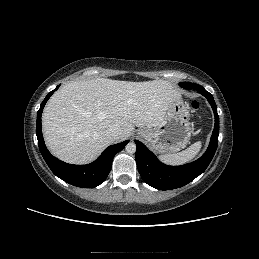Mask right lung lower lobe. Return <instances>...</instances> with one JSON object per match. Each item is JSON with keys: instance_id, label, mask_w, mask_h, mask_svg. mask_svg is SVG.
<instances>
[{"instance_id": "obj_1", "label": "right lung lower lobe", "mask_w": 259, "mask_h": 259, "mask_svg": "<svg viewBox=\"0 0 259 259\" xmlns=\"http://www.w3.org/2000/svg\"><path fill=\"white\" fill-rule=\"evenodd\" d=\"M58 87L59 86H57L56 89L47 94V96L41 103L40 109L37 113L36 135L40 152L51 171L57 177L77 187L94 188L103 183L104 180L107 178L111 170L112 160L115 154L122 150L129 142V140L109 146L103 151V153L98 157L97 160L88 165L67 164L55 158L48 151L43 140L41 115L47 100L50 98L53 92L58 89Z\"/></svg>"}]
</instances>
